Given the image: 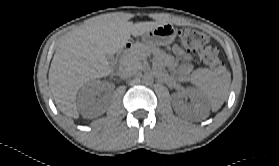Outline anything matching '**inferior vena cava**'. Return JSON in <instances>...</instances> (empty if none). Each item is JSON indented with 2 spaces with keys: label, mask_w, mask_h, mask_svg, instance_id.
Masks as SVG:
<instances>
[{
  "label": "inferior vena cava",
  "mask_w": 279,
  "mask_h": 166,
  "mask_svg": "<svg viewBox=\"0 0 279 166\" xmlns=\"http://www.w3.org/2000/svg\"><path fill=\"white\" fill-rule=\"evenodd\" d=\"M135 74H136V70L133 68H125L120 72V76L123 79L133 77Z\"/></svg>",
  "instance_id": "obj_1"
}]
</instances>
